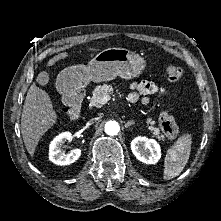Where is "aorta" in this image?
<instances>
[{"label": "aorta", "instance_id": "762f6f07", "mask_svg": "<svg viewBox=\"0 0 221 221\" xmlns=\"http://www.w3.org/2000/svg\"><path fill=\"white\" fill-rule=\"evenodd\" d=\"M120 130L118 122L110 120L105 124V133L110 136L116 135Z\"/></svg>", "mask_w": 221, "mask_h": 221}]
</instances>
